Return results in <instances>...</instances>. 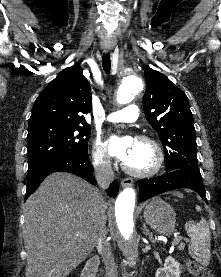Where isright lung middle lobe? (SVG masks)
<instances>
[{
	"label": "right lung middle lobe",
	"mask_w": 221,
	"mask_h": 277,
	"mask_svg": "<svg viewBox=\"0 0 221 277\" xmlns=\"http://www.w3.org/2000/svg\"><path fill=\"white\" fill-rule=\"evenodd\" d=\"M88 125L44 124L28 126V172L47 162L88 152Z\"/></svg>",
	"instance_id": "1"
}]
</instances>
